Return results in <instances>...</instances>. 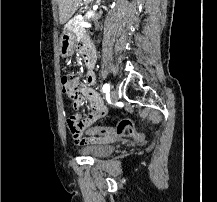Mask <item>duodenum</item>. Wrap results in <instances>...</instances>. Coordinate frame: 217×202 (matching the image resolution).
<instances>
[{
  "label": "duodenum",
  "mask_w": 217,
  "mask_h": 202,
  "mask_svg": "<svg viewBox=\"0 0 217 202\" xmlns=\"http://www.w3.org/2000/svg\"><path fill=\"white\" fill-rule=\"evenodd\" d=\"M80 51L87 68L89 71H91L95 62V56L93 52L86 42H82Z\"/></svg>",
  "instance_id": "1"
}]
</instances>
